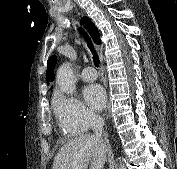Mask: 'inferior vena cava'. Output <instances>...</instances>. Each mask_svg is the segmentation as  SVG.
I'll return each mask as SVG.
<instances>
[{"instance_id":"obj_1","label":"inferior vena cava","mask_w":177,"mask_h":169,"mask_svg":"<svg viewBox=\"0 0 177 169\" xmlns=\"http://www.w3.org/2000/svg\"><path fill=\"white\" fill-rule=\"evenodd\" d=\"M91 126L94 132V136L100 138L103 133L104 121L101 117L97 115L91 116Z\"/></svg>"}]
</instances>
